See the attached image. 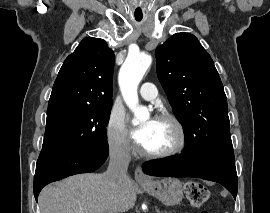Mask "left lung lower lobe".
<instances>
[{
    "mask_svg": "<svg viewBox=\"0 0 270 213\" xmlns=\"http://www.w3.org/2000/svg\"><path fill=\"white\" fill-rule=\"evenodd\" d=\"M182 154L148 161L144 173L152 176L200 177L222 184L236 199L238 180L234 153L202 156L189 142Z\"/></svg>",
    "mask_w": 270,
    "mask_h": 213,
    "instance_id": "left-lung-lower-lobe-1",
    "label": "left lung lower lobe"
}]
</instances>
